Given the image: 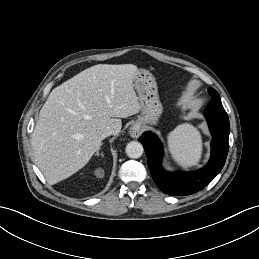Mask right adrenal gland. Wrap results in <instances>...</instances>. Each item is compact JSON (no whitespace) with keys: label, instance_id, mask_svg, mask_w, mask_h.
Listing matches in <instances>:
<instances>
[{"label":"right adrenal gland","instance_id":"obj_1","mask_svg":"<svg viewBox=\"0 0 259 259\" xmlns=\"http://www.w3.org/2000/svg\"><path fill=\"white\" fill-rule=\"evenodd\" d=\"M101 145H102V144H101ZM99 150H100V148L97 150L96 155H99ZM101 156H103L102 153H101Z\"/></svg>","mask_w":259,"mask_h":259}]
</instances>
